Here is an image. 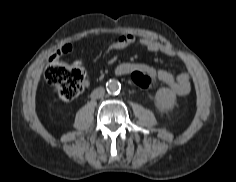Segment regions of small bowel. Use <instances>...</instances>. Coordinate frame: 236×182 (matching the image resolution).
I'll list each match as a JSON object with an SVG mask.
<instances>
[{
    "mask_svg": "<svg viewBox=\"0 0 236 182\" xmlns=\"http://www.w3.org/2000/svg\"><path fill=\"white\" fill-rule=\"evenodd\" d=\"M132 45L141 46L152 53H161L167 56L177 55L176 51L169 44L157 42L153 39L145 37L137 38L132 34H125L118 37L114 42L107 46L106 51L110 52L113 50H124ZM72 50V45L70 43H65L58 49V51L56 52V56H66L70 54ZM129 67V71L134 69L143 71L147 73L152 79H157L162 83L166 84L171 90V92L177 96H185L189 94L191 90L189 72H182L175 76L167 70H156L155 68L146 64H133Z\"/></svg>",
    "mask_w": 236,
    "mask_h": 182,
    "instance_id": "small-bowel-1",
    "label": "small bowel"
}]
</instances>
